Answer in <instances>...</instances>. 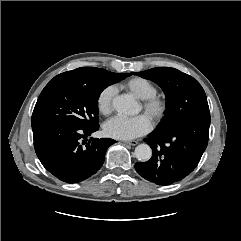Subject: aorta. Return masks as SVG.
<instances>
[{"mask_svg":"<svg viewBox=\"0 0 241 241\" xmlns=\"http://www.w3.org/2000/svg\"><path fill=\"white\" fill-rule=\"evenodd\" d=\"M114 109L123 115H135L139 112L137 102L129 95H122L114 99ZM135 157L141 161L146 162L152 156V150L147 144H140L135 148Z\"/></svg>","mask_w":241,"mask_h":241,"instance_id":"obj_1","label":"aorta"}]
</instances>
